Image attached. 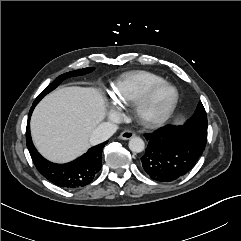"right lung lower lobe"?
Masks as SVG:
<instances>
[{
  "instance_id": "98d812e1",
  "label": "right lung lower lobe",
  "mask_w": 241,
  "mask_h": 241,
  "mask_svg": "<svg viewBox=\"0 0 241 241\" xmlns=\"http://www.w3.org/2000/svg\"><path fill=\"white\" fill-rule=\"evenodd\" d=\"M35 106L33 105L29 111L26 143L37 170L50 182L63 188H79L92 182L101 169L102 151L108 141L90 148L87 153L72 162L66 164L49 162L36 151L32 143L29 121Z\"/></svg>"
}]
</instances>
